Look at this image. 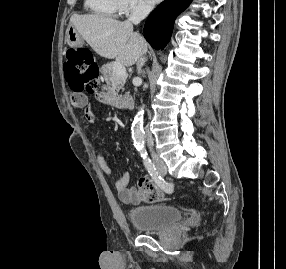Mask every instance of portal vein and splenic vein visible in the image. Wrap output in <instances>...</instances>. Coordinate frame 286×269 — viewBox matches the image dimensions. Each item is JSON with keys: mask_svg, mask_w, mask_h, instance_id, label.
<instances>
[{"mask_svg": "<svg viewBox=\"0 0 286 269\" xmlns=\"http://www.w3.org/2000/svg\"><path fill=\"white\" fill-rule=\"evenodd\" d=\"M113 69L117 75H126L127 74L125 67L119 62H114Z\"/></svg>", "mask_w": 286, "mask_h": 269, "instance_id": "18ae733b", "label": "portal vein and splenic vein"}]
</instances>
